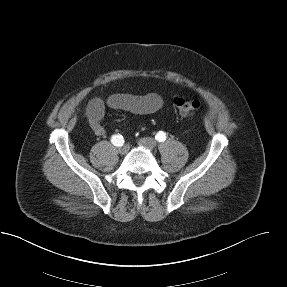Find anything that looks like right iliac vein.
Returning <instances> with one entry per match:
<instances>
[{
	"label": "right iliac vein",
	"mask_w": 287,
	"mask_h": 287,
	"mask_svg": "<svg viewBox=\"0 0 287 287\" xmlns=\"http://www.w3.org/2000/svg\"><path fill=\"white\" fill-rule=\"evenodd\" d=\"M128 150H129L128 145H123L122 147L119 148V153L121 155H124V154H126L128 152Z\"/></svg>",
	"instance_id": "63e3f726"
}]
</instances>
